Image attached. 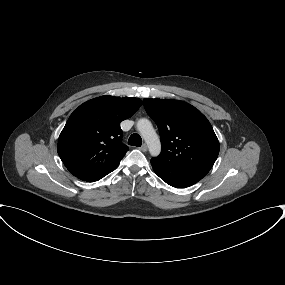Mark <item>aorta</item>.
I'll return each mask as SVG.
<instances>
[{
  "instance_id": "1",
  "label": "aorta",
  "mask_w": 285,
  "mask_h": 285,
  "mask_svg": "<svg viewBox=\"0 0 285 285\" xmlns=\"http://www.w3.org/2000/svg\"><path fill=\"white\" fill-rule=\"evenodd\" d=\"M137 129L144 138L150 154L158 156L161 152V143L152 123L146 118H141L137 121Z\"/></svg>"
}]
</instances>
